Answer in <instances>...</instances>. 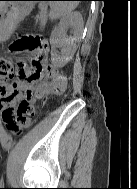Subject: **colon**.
<instances>
[{
	"label": "colon",
	"instance_id": "1",
	"mask_svg": "<svg viewBox=\"0 0 137 189\" xmlns=\"http://www.w3.org/2000/svg\"><path fill=\"white\" fill-rule=\"evenodd\" d=\"M47 46L44 39L38 35H22L17 38L11 45L10 50L12 52H23L27 51L33 53V58L26 75L25 65L19 64V72L26 76V79L32 80L39 77L41 73L40 61L44 53L46 52ZM12 74V63L3 57H0V94L5 92V86L9 82ZM47 76H51L52 69L47 68L45 70ZM26 114L30 116L34 115V109L28 101L20 103L17 115L23 117Z\"/></svg>",
	"mask_w": 137,
	"mask_h": 189
}]
</instances>
